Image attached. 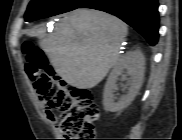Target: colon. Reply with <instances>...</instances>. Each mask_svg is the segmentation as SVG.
<instances>
[{
	"instance_id": "5ec220e1",
	"label": "colon",
	"mask_w": 182,
	"mask_h": 140,
	"mask_svg": "<svg viewBox=\"0 0 182 140\" xmlns=\"http://www.w3.org/2000/svg\"><path fill=\"white\" fill-rule=\"evenodd\" d=\"M25 71L39 99L59 113L60 130L74 140H94L95 121L100 109L93 93L84 88H71L57 77L45 54L31 43L23 45Z\"/></svg>"
}]
</instances>
